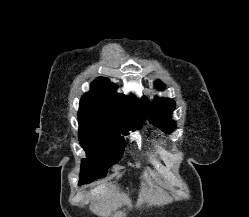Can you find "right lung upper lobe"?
Masks as SVG:
<instances>
[{
    "label": "right lung upper lobe",
    "mask_w": 249,
    "mask_h": 217,
    "mask_svg": "<svg viewBox=\"0 0 249 217\" xmlns=\"http://www.w3.org/2000/svg\"><path fill=\"white\" fill-rule=\"evenodd\" d=\"M90 92L82 96L80 108L111 116L121 123L135 127L146 120V109L133 96L116 93L117 86L107 78L94 80Z\"/></svg>",
    "instance_id": "right-lung-upper-lobe-1"
}]
</instances>
